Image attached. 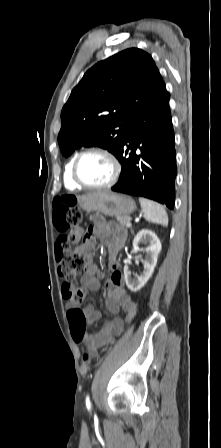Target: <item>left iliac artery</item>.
<instances>
[{"label":"left iliac artery","mask_w":221,"mask_h":448,"mask_svg":"<svg viewBox=\"0 0 221 448\" xmlns=\"http://www.w3.org/2000/svg\"><path fill=\"white\" fill-rule=\"evenodd\" d=\"M86 406H87L88 409L91 407L90 400H89L88 396L86 398Z\"/></svg>","instance_id":"44dca946"}]
</instances>
